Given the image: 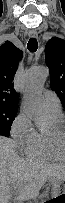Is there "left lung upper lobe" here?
Masks as SVG:
<instances>
[{"label": "left lung upper lobe", "instance_id": "5c2ea615", "mask_svg": "<svg viewBox=\"0 0 65 203\" xmlns=\"http://www.w3.org/2000/svg\"><path fill=\"white\" fill-rule=\"evenodd\" d=\"M46 64L50 69L52 89L63 101L65 96V41L53 37L45 47Z\"/></svg>", "mask_w": 65, "mask_h": 203}]
</instances>
